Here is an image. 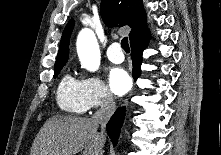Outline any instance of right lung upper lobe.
<instances>
[{"label":"right lung upper lobe","mask_w":221,"mask_h":155,"mask_svg":"<svg viewBox=\"0 0 221 155\" xmlns=\"http://www.w3.org/2000/svg\"><path fill=\"white\" fill-rule=\"evenodd\" d=\"M101 15L105 24L110 27L129 26L130 42L146 29L142 0H102ZM73 26L74 22L71 20L63 31L55 67L64 65L68 60L69 39Z\"/></svg>","instance_id":"right-lung-upper-lobe-1"}]
</instances>
